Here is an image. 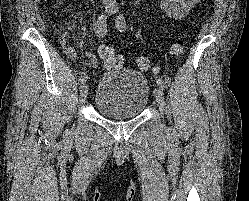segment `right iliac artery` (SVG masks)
I'll list each match as a JSON object with an SVG mask.
<instances>
[{
    "mask_svg": "<svg viewBox=\"0 0 249 201\" xmlns=\"http://www.w3.org/2000/svg\"><path fill=\"white\" fill-rule=\"evenodd\" d=\"M106 19H107L106 15L102 14L101 16H99L98 20L96 21L95 29L99 37H104L107 33ZM87 78L88 77L86 74L81 75L79 78V83L84 84Z\"/></svg>",
    "mask_w": 249,
    "mask_h": 201,
    "instance_id": "1",
    "label": "right iliac artery"
}]
</instances>
